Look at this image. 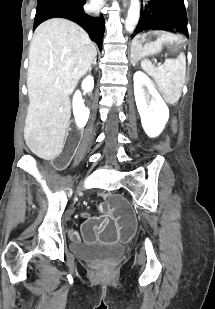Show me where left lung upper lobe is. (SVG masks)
Masks as SVG:
<instances>
[{
	"mask_svg": "<svg viewBox=\"0 0 215 309\" xmlns=\"http://www.w3.org/2000/svg\"><path fill=\"white\" fill-rule=\"evenodd\" d=\"M176 30L188 36L183 0H146L141 8L136 33L147 29Z\"/></svg>",
	"mask_w": 215,
	"mask_h": 309,
	"instance_id": "left-lung-upper-lobe-1",
	"label": "left lung upper lobe"
}]
</instances>
